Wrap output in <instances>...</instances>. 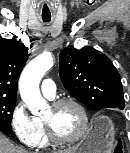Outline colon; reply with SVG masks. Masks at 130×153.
Returning <instances> with one entry per match:
<instances>
[{"mask_svg":"<svg viewBox=\"0 0 130 153\" xmlns=\"http://www.w3.org/2000/svg\"><path fill=\"white\" fill-rule=\"evenodd\" d=\"M116 152H117V153H121V152H122V148H121V147H118V148L116 149Z\"/></svg>","mask_w":130,"mask_h":153,"instance_id":"1","label":"colon"}]
</instances>
